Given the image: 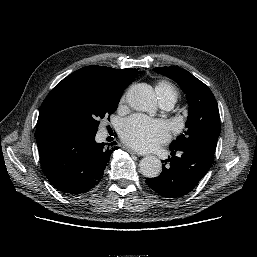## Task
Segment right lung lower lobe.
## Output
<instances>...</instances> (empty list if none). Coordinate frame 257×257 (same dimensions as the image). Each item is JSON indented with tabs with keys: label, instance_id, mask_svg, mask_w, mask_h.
I'll return each mask as SVG.
<instances>
[{
	"label": "right lung lower lobe",
	"instance_id": "98d812e1",
	"mask_svg": "<svg viewBox=\"0 0 257 257\" xmlns=\"http://www.w3.org/2000/svg\"><path fill=\"white\" fill-rule=\"evenodd\" d=\"M41 167L58 190L81 194L103 178L112 152L118 147L95 142V134L68 131L38 144Z\"/></svg>",
	"mask_w": 257,
	"mask_h": 257
}]
</instances>
